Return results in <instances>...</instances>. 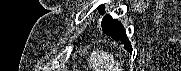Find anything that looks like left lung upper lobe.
Listing matches in <instances>:
<instances>
[{
    "label": "left lung upper lobe",
    "instance_id": "left-lung-upper-lobe-1",
    "mask_svg": "<svg viewBox=\"0 0 181 71\" xmlns=\"http://www.w3.org/2000/svg\"><path fill=\"white\" fill-rule=\"evenodd\" d=\"M97 9L99 10L100 14H104V5H100L99 7H97Z\"/></svg>",
    "mask_w": 181,
    "mask_h": 71
}]
</instances>
